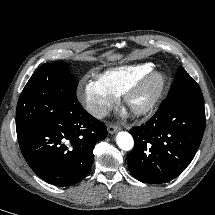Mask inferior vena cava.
Listing matches in <instances>:
<instances>
[{"label": "inferior vena cava", "instance_id": "602c4592", "mask_svg": "<svg viewBox=\"0 0 215 215\" xmlns=\"http://www.w3.org/2000/svg\"><path fill=\"white\" fill-rule=\"evenodd\" d=\"M89 111L96 118H103L108 114L107 108L102 106L90 107Z\"/></svg>", "mask_w": 215, "mask_h": 215}]
</instances>
